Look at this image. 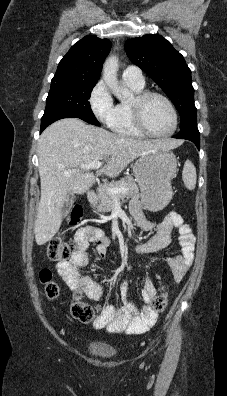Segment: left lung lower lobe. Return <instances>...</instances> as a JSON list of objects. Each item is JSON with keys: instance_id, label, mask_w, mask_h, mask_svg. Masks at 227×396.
Wrapping results in <instances>:
<instances>
[{"instance_id": "obj_1", "label": "left lung lower lobe", "mask_w": 227, "mask_h": 396, "mask_svg": "<svg viewBox=\"0 0 227 396\" xmlns=\"http://www.w3.org/2000/svg\"><path fill=\"white\" fill-rule=\"evenodd\" d=\"M174 138L192 141L200 149V133L197 128V118L189 120L180 127V131Z\"/></svg>"}]
</instances>
